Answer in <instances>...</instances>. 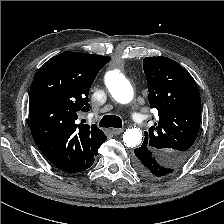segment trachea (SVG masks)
I'll return each mask as SVG.
<instances>
[{"label": "trachea", "mask_w": 224, "mask_h": 224, "mask_svg": "<svg viewBox=\"0 0 224 224\" xmlns=\"http://www.w3.org/2000/svg\"><path fill=\"white\" fill-rule=\"evenodd\" d=\"M100 127H114V128H121L122 127V120L120 117L116 115H106L103 116L101 121L99 122Z\"/></svg>", "instance_id": "obj_1"}]
</instances>
